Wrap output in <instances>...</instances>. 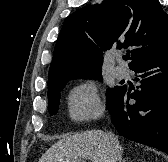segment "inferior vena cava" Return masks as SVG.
I'll list each match as a JSON object with an SVG mask.
<instances>
[{
  "label": "inferior vena cava",
  "instance_id": "obj_1",
  "mask_svg": "<svg viewBox=\"0 0 168 162\" xmlns=\"http://www.w3.org/2000/svg\"><path fill=\"white\" fill-rule=\"evenodd\" d=\"M109 139V162H121V147L112 132L107 133Z\"/></svg>",
  "mask_w": 168,
  "mask_h": 162
}]
</instances>
